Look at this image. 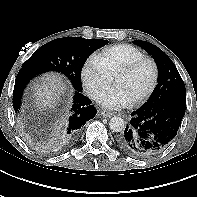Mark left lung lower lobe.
<instances>
[{"instance_id": "obj_1", "label": "left lung lower lobe", "mask_w": 197, "mask_h": 197, "mask_svg": "<svg viewBox=\"0 0 197 197\" xmlns=\"http://www.w3.org/2000/svg\"><path fill=\"white\" fill-rule=\"evenodd\" d=\"M186 110V93L165 96L140 107L118 136L119 147L135 158H149L164 150L176 136Z\"/></svg>"}]
</instances>
